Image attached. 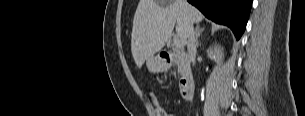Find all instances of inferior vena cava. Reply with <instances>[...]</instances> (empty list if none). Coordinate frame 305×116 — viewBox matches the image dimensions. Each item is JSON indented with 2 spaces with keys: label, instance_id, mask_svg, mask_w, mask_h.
I'll use <instances>...</instances> for the list:
<instances>
[{
  "label": "inferior vena cava",
  "instance_id": "inferior-vena-cava-1",
  "mask_svg": "<svg viewBox=\"0 0 305 116\" xmlns=\"http://www.w3.org/2000/svg\"><path fill=\"white\" fill-rule=\"evenodd\" d=\"M187 50L189 54L190 61L194 65L195 56H196V40L193 31V26L190 25L188 29V41H187Z\"/></svg>",
  "mask_w": 305,
  "mask_h": 116
}]
</instances>
